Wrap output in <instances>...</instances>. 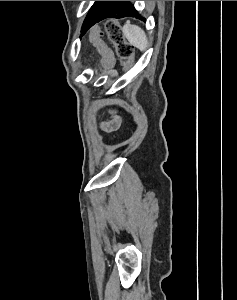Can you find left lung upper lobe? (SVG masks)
Masks as SVG:
<instances>
[{"instance_id":"left-lung-upper-lobe-1","label":"left lung upper lobe","mask_w":237,"mask_h":300,"mask_svg":"<svg viewBox=\"0 0 237 300\" xmlns=\"http://www.w3.org/2000/svg\"><path fill=\"white\" fill-rule=\"evenodd\" d=\"M109 3V1H95L93 6L91 7L86 19L84 20L82 29H81V35H84L86 31L89 29V24L92 20H94L101 11L105 8V6ZM127 8L130 10H133L135 12V15L137 18L141 19V16L138 14V12L135 10L134 6L128 2ZM133 16V17H134Z\"/></svg>"}]
</instances>
